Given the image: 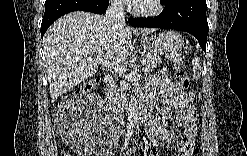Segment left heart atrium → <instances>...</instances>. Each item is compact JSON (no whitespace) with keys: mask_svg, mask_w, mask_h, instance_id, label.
Wrapping results in <instances>:
<instances>
[{"mask_svg":"<svg viewBox=\"0 0 247 156\" xmlns=\"http://www.w3.org/2000/svg\"><path fill=\"white\" fill-rule=\"evenodd\" d=\"M144 1L142 0H129L128 3L131 5H140L141 3H143Z\"/></svg>","mask_w":247,"mask_h":156,"instance_id":"39dd6f15","label":"left heart atrium"}]
</instances>
